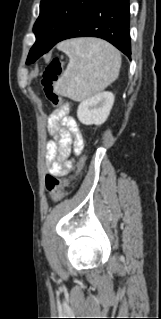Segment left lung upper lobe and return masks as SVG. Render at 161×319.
Masks as SVG:
<instances>
[{
	"label": "left lung upper lobe",
	"instance_id": "obj_1",
	"mask_svg": "<svg viewBox=\"0 0 161 319\" xmlns=\"http://www.w3.org/2000/svg\"><path fill=\"white\" fill-rule=\"evenodd\" d=\"M97 0H41L40 15L34 24L36 42L29 55L33 63L57 44L72 25Z\"/></svg>",
	"mask_w": 161,
	"mask_h": 319
}]
</instances>
